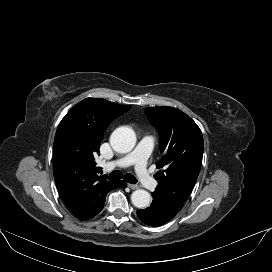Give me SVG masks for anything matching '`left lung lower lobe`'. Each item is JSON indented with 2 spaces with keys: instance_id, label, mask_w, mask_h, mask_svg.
Here are the masks:
<instances>
[{
  "instance_id": "0a47b994",
  "label": "left lung lower lobe",
  "mask_w": 272,
  "mask_h": 272,
  "mask_svg": "<svg viewBox=\"0 0 272 272\" xmlns=\"http://www.w3.org/2000/svg\"><path fill=\"white\" fill-rule=\"evenodd\" d=\"M177 212L178 209L153 196L151 206L143 210H137V215L147 225L160 226L176 216Z\"/></svg>"
}]
</instances>
